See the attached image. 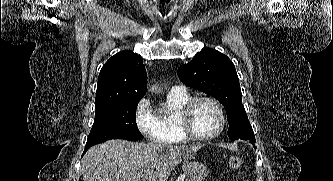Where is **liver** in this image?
Instances as JSON below:
<instances>
[{
	"label": "liver",
	"instance_id": "obj_1",
	"mask_svg": "<svg viewBox=\"0 0 333 181\" xmlns=\"http://www.w3.org/2000/svg\"><path fill=\"white\" fill-rule=\"evenodd\" d=\"M200 148L109 140L83 156V181H167L185 153Z\"/></svg>",
	"mask_w": 333,
	"mask_h": 181
}]
</instances>
